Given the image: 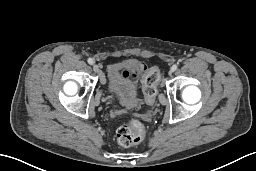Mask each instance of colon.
<instances>
[{"label": "colon", "instance_id": "1", "mask_svg": "<svg viewBox=\"0 0 256 171\" xmlns=\"http://www.w3.org/2000/svg\"><path fill=\"white\" fill-rule=\"evenodd\" d=\"M160 75L156 68L149 69L143 78V94L148 103H152L157 94ZM146 137V127L138 120L121 124L116 131L117 142L124 147L141 143Z\"/></svg>", "mask_w": 256, "mask_h": 171}]
</instances>
